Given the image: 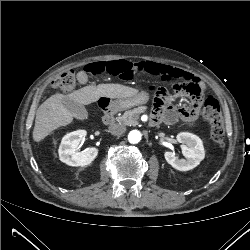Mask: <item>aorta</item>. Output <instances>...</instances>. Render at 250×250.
<instances>
[{"mask_svg": "<svg viewBox=\"0 0 250 250\" xmlns=\"http://www.w3.org/2000/svg\"><path fill=\"white\" fill-rule=\"evenodd\" d=\"M141 133L138 130H132L129 134H128V140L130 143L132 144H136L141 140Z\"/></svg>", "mask_w": 250, "mask_h": 250, "instance_id": "762f6f07", "label": "aorta"}]
</instances>
